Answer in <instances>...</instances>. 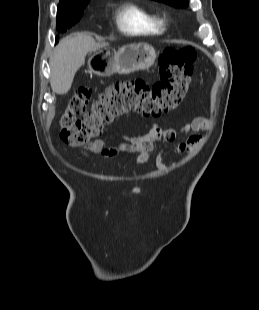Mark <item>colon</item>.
Here are the masks:
<instances>
[{"mask_svg": "<svg viewBox=\"0 0 259 310\" xmlns=\"http://www.w3.org/2000/svg\"><path fill=\"white\" fill-rule=\"evenodd\" d=\"M195 58L196 52L191 47H168L158 60L159 81L152 85L143 79L117 81L89 109L92 89L78 88L68 99L60 118L61 139L71 146H85L120 115L137 112L160 116L176 109L189 92Z\"/></svg>", "mask_w": 259, "mask_h": 310, "instance_id": "colon-1", "label": "colon"}]
</instances>
